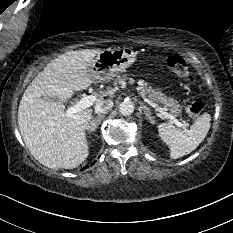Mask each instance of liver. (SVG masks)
<instances>
[{
  "label": "liver",
  "instance_id": "obj_1",
  "mask_svg": "<svg viewBox=\"0 0 233 233\" xmlns=\"http://www.w3.org/2000/svg\"><path fill=\"white\" fill-rule=\"evenodd\" d=\"M99 52L85 49L60 55L34 78L21 98L17 115L20 133L34 158L46 167L73 169L88 157L85 130L92 109L69 116L61 102L95 82L89 67ZM52 97L61 102L51 101ZM103 100L104 93L98 94L95 104Z\"/></svg>",
  "mask_w": 233,
  "mask_h": 233
}]
</instances>
